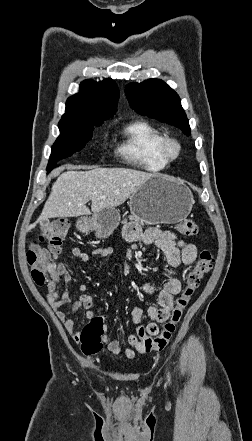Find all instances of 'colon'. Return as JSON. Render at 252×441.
<instances>
[{"instance_id": "colon-1", "label": "colon", "mask_w": 252, "mask_h": 441, "mask_svg": "<svg viewBox=\"0 0 252 441\" xmlns=\"http://www.w3.org/2000/svg\"><path fill=\"white\" fill-rule=\"evenodd\" d=\"M69 223L64 219L51 221L43 227L42 234L32 242L31 249L27 252V261L31 267V276L34 282L44 285L51 273L52 263L50 254L59 251L62 242L68 231ZM178 231L185 236H194L198 233V226L195 221L186 219L179 223ZM43 241L48 242V249L40 247ZM214 264V256L209 250H203L195 266L187 274L184 287L176 299V304L171 310L169 319L164 323L162 330L154 337L148 336L146 328L139 325L136 328V335L143 344L144 352L161 351L169 343V340L181 319L184 308L188 305L195 290L199 287L205 275L211 270ZM107 326L104 316L93 317L84 326L80 333V343L83 353L87 356L98 353L102 347V336Z\"/></svg>"}]
</instances>
